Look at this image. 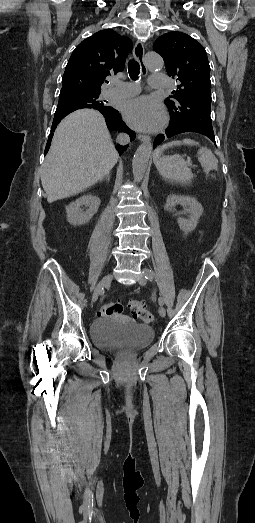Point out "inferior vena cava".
I'll use <instances>...</instances> for the list:
<instances>
[{
    "label": "inferior vena cava",
    "instance_id": "1",
    "mask_svg": "<svg viewBox=\"0 0 255 523\" xmlns=\"http://www.w3.org/2000/svg\"><path fill=\"white\" fill-rule=\"evenodd\" d=\"M119 144H129V136H127V134H119L118 138H117Z\"/></svg>",
    "mask_w": 255,
    "mask_h": 523
}]
</instances>
